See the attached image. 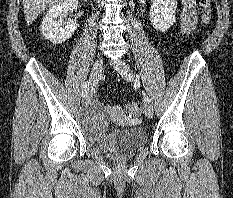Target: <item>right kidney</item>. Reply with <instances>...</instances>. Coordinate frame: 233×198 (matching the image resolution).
Returning <instances> with one entry per match:
<instances>
[{"mask_svg": "<svg viewBox=\"0 0 233 198\" xmlns=\"http://www.w3.org/2000/svg\"><path fill=\"white\" fill-rule=\"evenodd\" d=\"M78 7V0H64L53 5L41 23L43 36L54 44H60L71 38L77 29V21L69 19L64 25L61 16L69 10L77 11Z\"/></svg>", "mask_w": 233, "mask_h": 198, "instance_id": "ca27d5eb", "label": "right kidney"}]
</instances>
